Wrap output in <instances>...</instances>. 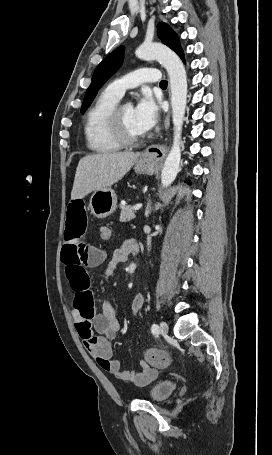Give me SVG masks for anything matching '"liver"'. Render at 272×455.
Returning <instances> with one entry per match:
<instances>
[{"label": "liver", "mask_w": 272, "mask_h": 455, "mask_svg": "<svg viewBox=\"0 0 272 455\" xmlns=\"http://www.w3.org/2000/svg\"><path fill=\"white\" fill-rule=\"evenodd\" d=\"M139 156L138 152H117L83 157L76 169L71 199L84 198L92 191L108 188L118 182Z\"/></svg>", "instance_id": "obj_1"}]
</instances>
